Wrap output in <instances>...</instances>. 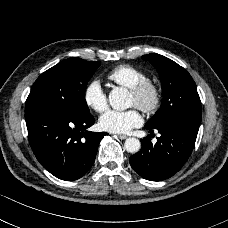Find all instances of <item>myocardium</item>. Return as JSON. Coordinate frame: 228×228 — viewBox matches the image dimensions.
<instances>
[{"label":"myocardium","instance_id":"1","mask_svg":"<svg viewBox=\"0 0 228 228\" xmlns=\"http://www.w3.org/2000/svg\"><path fill=\"white\" fill-rule=\"evenodd\" d=\"M136 98L135 106L146 113H151L158 109L161 103V88L152 79H145L130 89Z\"/></svg>","mask_w":228,"mask_h":228}]
</instances>
